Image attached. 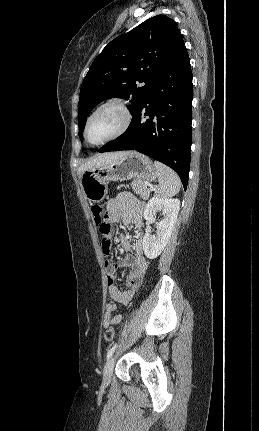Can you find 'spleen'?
Here are the masks:
<instances>
[{
	"mask_svg": "<svg viewBox=\"0 0 259 431\" xmlns=\"http://www.w3.org/2000/svg\"><path fill=\"white\" fill-rule=\"evenodd\" d=\"M154 166L157 170L159 183L155 192L156 196L160 198L175 196L180 191L181 186L178 175L171 168L159 161H155Z\"/></svg>",
	"mask_w": 259,
	"mask_h": 431,
	"instance_id": "3e777b00",
	"label": "spleen"
}]
</instances>
